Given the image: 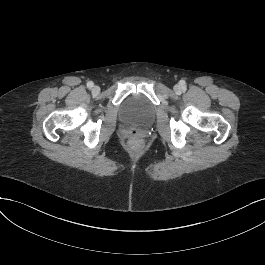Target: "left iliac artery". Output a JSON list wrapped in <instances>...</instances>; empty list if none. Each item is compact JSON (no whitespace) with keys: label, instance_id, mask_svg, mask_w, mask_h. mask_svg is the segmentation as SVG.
Returning <instances> with one entry per match:
<instances>
[{"label":"left iliac artery","instance_id":"44dca946","mask_svg":"<svg viewBox=\"0 0 265 265\" xmlns=\"http://www.w3.org/2000/svg\"><path fill=\"white\" fill-rule=\"evenodd\" d=\"M182 86L184 87V82H182Z\"/></svg>","mask_w":265,"mask_h":265}]
</instances>
